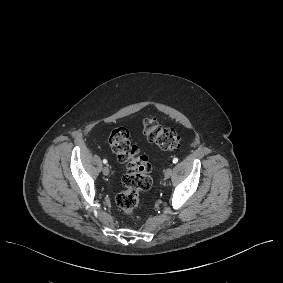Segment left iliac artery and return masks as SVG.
<instances>
[{"instance_id":"44dca946","label":"left iliac artery","mask_w":283,"mask_h":283,"mask_svg":"<svg viewBox=\"0 0 283 283\" xmlns=\"http://www.w3.org/2000/svg\"><path fill=\"white\" fill-rule=\"evenodd\" d=\"M178 162V159L177 158H174L173 159V163H177Z\"/></svg>"}]
</instances>
